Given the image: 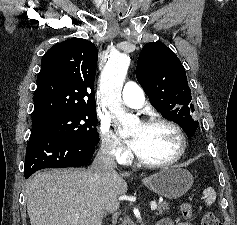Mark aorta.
<instances>
[{"instance_id":"obj_1","label":"aorta","mask_w":237,"mask_h":225,"mask_svg":"<svg viewBox=\"0 0 237 225\" xmlns=\"http://www.w3.org/2000/svg\"><path fill=\"white\" fill-rule=\"evenodd\" d=\"M130 64L126 54L111 55L106 63L100 82L101 99L121 124L120 134H127L139 123V119L126 113L121 106V91Z\"/></svg>"}]
</instances>
